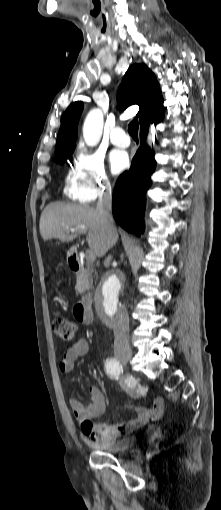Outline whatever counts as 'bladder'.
<instances>
[{"instance_id": "obj_1", "label": "bladder", "mask_w": 221, "mask_h": 510, "mask_svg": "<svg viewBox=\"0 0 221 510\" xmlns=\"http://www.w3.org/2000/svg\"><path fill=\"white\" fill-rule=\"evenodd\" d=\"M135 443L136 438L134 436H126L111 442H96L92 445L96 450L109 454H117L129 451L134 447Z\"/></svg>"}]
</instances>
